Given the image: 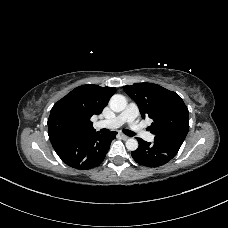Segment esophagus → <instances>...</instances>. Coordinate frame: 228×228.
I'll return each mask as SVG.
<instances>
[{
	"label": "esophagus",
	"instance_id": "1",
	"mask_svg": "<svg viewBox=\"0 0 228 228\" xmlns=\"http://www.w3.org/2000/svg\"><path fill=\"white\" fill-rule=\"evenodd\" d=\"M120 136H121V138H122L123 140H127V139H129V137H128V136H126V135H124V134H121Z\"/></svg>",
	"mask_w": 228,
	"mask_h": 228
}]
</instances>
